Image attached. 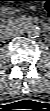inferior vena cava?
<instances>
[{
  "instance_id": "1",
  "label": "inferior vena cava",
  "mask_w": 50,
  "mask_h": 111,
  "mask_svg": "<svg viewBox=\"0 0 50 111\" xmlns=\"http://www.w3.org/2000/svg\"><path fill=\"white\" fill-rule=\"evenodd\" d=\"M21 34H22L21 31H14V32H11V33L9 34V37L18 36V35H21Z\"/></svg>"
}]
</instances>
